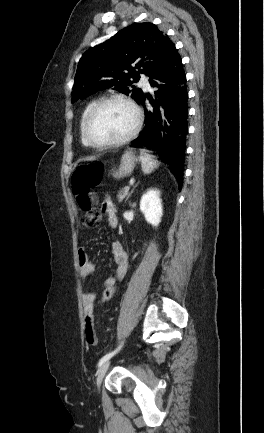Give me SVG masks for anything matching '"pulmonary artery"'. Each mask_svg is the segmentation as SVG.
<instances>
[{
    "mask_svg": "<svg viewBox=\"0 0 264 433\" xmlns=\"http://www.w3.org/2000/svg\"><path fill=\"white\" fill-rule=\"evenodd\" d=\"M140 84L147 90L150 89V84L147 80H141Z\"/></svg>",
    "mask_w": 264,
    "mask_h": 433,
    "instance_id": "e3ab8cb5",
    "label": "pulmonary artery"
}]
</instances>
